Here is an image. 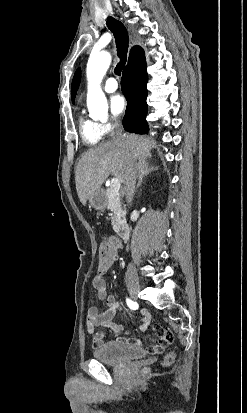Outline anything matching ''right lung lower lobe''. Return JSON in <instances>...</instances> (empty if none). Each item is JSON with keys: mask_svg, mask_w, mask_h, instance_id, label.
Wrapping results in <instances>:
<instances>
[{"mask_svg": "<svg viewBox=\"0 0 247 413\" xmlns=\"http://www.w3.org/2000/svg\"><path fill=\"white\" fill-rule=\"evenodd\" d=\"M148 76L146 69L134 75H124L121 80V89L127 99L124 129L128 132L146 134L148 125L147 115V88Z\"/></svg>", "mask_w": 247, "mask_h": 413, "instance_id": "1", "label": "right lung lower lobe"}]
</instances>
